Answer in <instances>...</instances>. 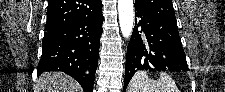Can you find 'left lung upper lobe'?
Listing matches in <instances>:
<instances>
[{
	"instance_id": "left-lung-upper-lobe-1",
	"label": "left lung upper lobe",
	"mask_w": 225,
	"mask_h": 92,
	"mask_svg": "<svg viewBox=\"0 0 225 92\" xmlns=\"http://www.w3.org/2000/svg\"><path fill=\"white\" fill-rule=\"evenodd\" d=\"M135 10L155 18L177 23L172 0H135Z\"/></svg>"
}]
</instances>
